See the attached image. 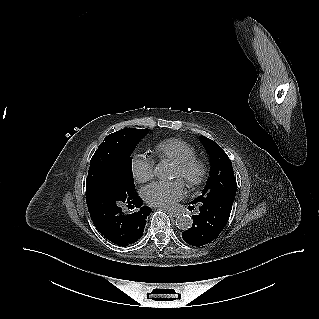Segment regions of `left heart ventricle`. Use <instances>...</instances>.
Returning a JSON list of instances; mask_svg holds the SVG:
<instances>
[{"instance_id":"b2bd125f","label":"left heart ventricle","mask_w":319,"mask_h":319,"mask_svg":"<svg viewBox=\"0 0 319 319\" xmlns=\"http://www.w3.org/2000/svg\"><path fill=\"white\" fill-rule=\"evenodd\" d=\"M172 178L183 180L182 174L180 173V171L178 170V168L176 166L173 167Z\"/></svg>"}]
</instances>
